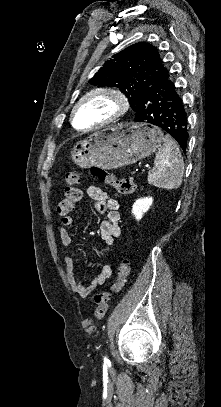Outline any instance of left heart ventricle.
<instances>
[{
  "instance_id": "left-heart-ventricle-1",
  "label": "left heart ventricle",
  "mask_w": 221,
  "mask_h": 407,
  "mask_svg": "<svg viewBox=\"0 0 221 407\" xmlns=\"http://www.w3.org/2000/svg\"><path fill=\"white\" fill-rule=\"evenodd\" d=\"M114 101L110 97L91 98L82 104L75 115L77 128H86L108 118L114 111Z\"/></svg>"
}]
</instances>
